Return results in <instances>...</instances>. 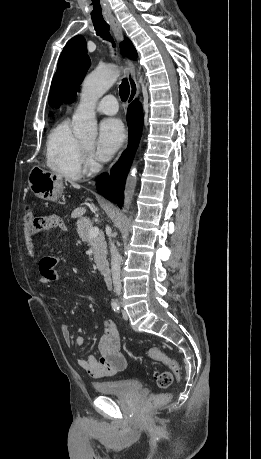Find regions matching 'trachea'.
<instances>
[{"instance_id": "obj_1", "label": "trachea", "mask_w": 261, "mask_h": 459, "mask_svg": "<svg viewBox=\"0 0 261 459\" xmlns=\"http://www.w3.org/2000/svg\"><path fill=\"white\" fill-rule=\"evenodd\" d=\"M93 25L96 30V34L105 40L110 41L112 46L115 47V42L109 33V25L104 20H93ZM119 93L122 101L125 102L130 94V86L126 78L122 80V83L119 86Z\"/></svg>"}]
</instances>
